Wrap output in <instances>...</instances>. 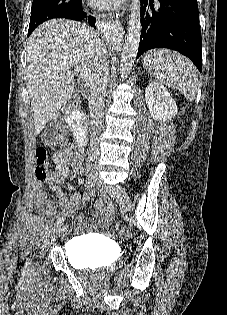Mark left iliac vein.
Instances as JSON below:
<instances>
[{"instance_id":"4c4485c4","label":"left iliac vein","mask_w":227,"mask_h":315,"mask_svg":"<svg viewBox=\"0 0 227 315\" xmlns=\"http://www.w3.org/2000/svg\"><path fill=\"white\" fill-rule=\"evenodd\" d=\"M97 184L99 186H103L104 183L101 178H98ZM112 196L119 202L121 207L126 211L130 212L132 210V202L128 197L127 193L122 189L119 188L117 191L112 192Z\"/></svg>"}]
</instances>
